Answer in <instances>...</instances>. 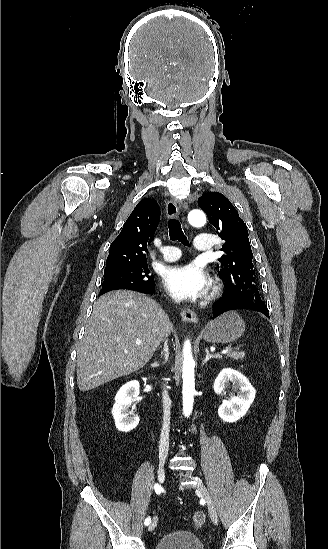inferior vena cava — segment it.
Returning a JSON list of instances; mask_svg holds the SVG:
<instances>
[{
    "instance_id": "obj_1",
    "label": "inferior vena cava",
    "mask_w": 328,
    "mask_h": 549,
    "mask_svg": "<svg viewBox=\"0 0 328 549\" xmlns=\"http://www.w3.org/2000/svg\"><path fill=\"white\" fill-rule=\"evenodd\" d=\"M163 425L160 435L159 451L163 455H167L169 449V431H170V409L171 401L167 391H163Z\"/></svg>"
}]
</instances>
